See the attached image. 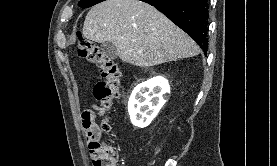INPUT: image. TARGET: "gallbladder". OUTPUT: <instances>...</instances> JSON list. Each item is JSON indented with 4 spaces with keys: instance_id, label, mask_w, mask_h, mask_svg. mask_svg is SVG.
Masks as SVG:
<instances>
[{
    "instance_id": "gallbladder-1",
    "label": "gallbladder",
    "mask_w": 277,
    "mask_h": 166,
    "mask_svg": "<svg viewBox=\"0 0 277 166\" xmlns=\"http://www.w3.org/2000/svg\"><path fill=\"white\" fill-rule=\"evenodd\" d=\"M101 49H102V52L105 55V57L110 60H114L118 56L117 49L112 42H109V41L103 42L101 44Z\"/></svg>"
}]
</instances>
